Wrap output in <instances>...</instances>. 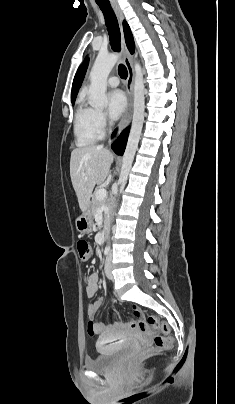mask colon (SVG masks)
<instances>
[{
  "mask_svg": "<svg viewBox=\"0 0 235 404\" xmlns=\"http://www.w3.org/2000/svg\"><path fill=\"white\" fill-rule=\"evenodd\" d=\"M77 250L82 261L88 260L92 255V248L85 240L78 241ZM134 314L138 317V319L134 320L131 326L140 331H145L148 328L151 332L155 333L154 346L156 349L168 350L171 347V337L157 334L158 331H162L166 334L168 333V326L165 322L161 321L155 315H149L146 318H141V313L138 308L134 309Z\"/></svg>",
  "mask_w": 235,
  "mask_h": 404,
  "instance_id": "5ec220e1",
  "label": "colon"
}]
</instances>
